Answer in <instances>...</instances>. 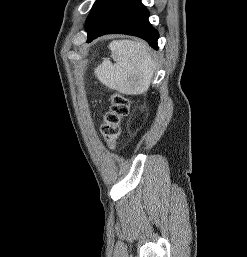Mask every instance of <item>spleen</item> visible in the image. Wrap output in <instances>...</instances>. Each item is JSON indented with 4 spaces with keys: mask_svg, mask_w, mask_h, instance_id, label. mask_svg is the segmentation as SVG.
I'll list each match as a JSON object with an SVG mask.
<instances>
[{
    "mask_svg": "<svg viewBox=\"0 0 247 257\" xmlns=\"http://www.w3.org/2000/svg\"><path fill=\"white\" fill-rule=\"evenodd\" d=\"M114 64L105 59L95 75L106 87L124 94L148 90L153 77V60L142 41L120 40L110 43Z\"/></svg>",
    "mask_w": 247,
    "mask_h": 257,
    "instance_id": "obj_1",
    "label": "spleen"
}]
</instances>
